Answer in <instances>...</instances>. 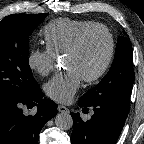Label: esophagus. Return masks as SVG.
<instances>
[{"instance_id": "1", "label": "esophagus", "mask_w": 144, "mask_h": 144, "mask_svg": "<svg viewBox=\"0 0 144 144\" xmlns=\"http://www.w3.org/2000/svg\"><path fill=\"white\" fill-rule=\"evenodd\" d=\"M57 109L60 113H68L69 112V109L63 105H58Z\"/></svg>"}]
</instances>
